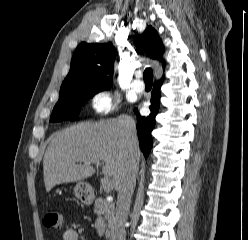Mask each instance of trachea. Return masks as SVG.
<instances>
[{"mask_svg": "<svg viewBox=\"0 0 248 240\" xmlns=\"http://www.w3.org/2000/svg\"><path fill=\"white\" fill-rule=\"evenodd\" d=\"M144 82L145 84H152L153 83V75H152V69L146 68L144 71Z\"/></svg>", "mask_w": 248, "mask_h": 240, "instance_id": "3493384b", "label": "trachea"}]
</instances>
